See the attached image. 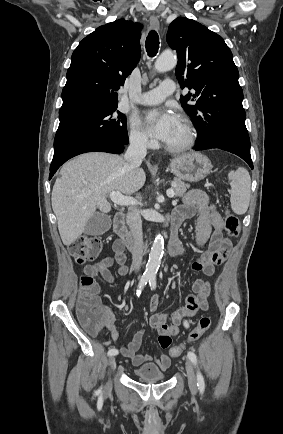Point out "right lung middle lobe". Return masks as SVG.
I'll list each match as a JSON object with an SVG mask.
<instances>
[{"mask_svg":"<svg viewBox=\"0 0 283 434\" xmlns=\"http://www.w3.org/2000/svg\"><path fill=\"white\" fill-rule=\"evenodd\" d=\"M60 124L54 140V151L80 139L110 137L128 144L127 124L117 107L59 116Z\"/></svg>","mask_w":283,"mask_h":434,"instance_id":"1","label":"right lung middle lobe"}]
</instances>
